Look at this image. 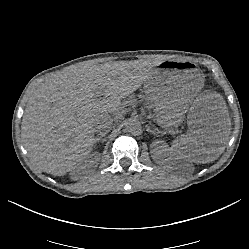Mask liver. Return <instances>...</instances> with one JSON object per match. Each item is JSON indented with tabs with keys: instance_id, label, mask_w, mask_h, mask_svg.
<instances>
[{
	"instance_id": "6515ba94",
	"label": "liver",
	"mask_w": 249,
	"mask_h": 249,
	"mask_svg": "<svg viewBox=\"0 0 249 249\" xmlns=\"http://www.w3.org/2000/svg\"><path fill=\"white\" fill-rule=\"evenodd\" d=\"M151 74L148 67L108 64L68 67L44 80L32 93L22 118L21 138L32 164L54 176L79 168L95 146L96 121L115 113L122 100ZM150 103L155 124L165 131L178 128L187 119L189 133L173 140V159L210 163L222 154L231 118L218 93L204 92L192 104L174 106L156 94L151 95Z\"/></svg>"
}]
</instances>
